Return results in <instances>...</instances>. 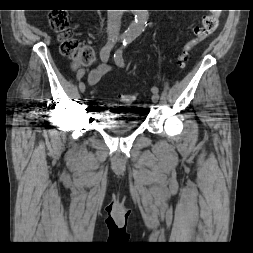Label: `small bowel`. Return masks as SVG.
<instances>
[{"mask_svg":"<svg viewBox=\"0 0 253 253\" xmlns=\"http://www.w3.org/2000/svg\"><path fill=\"white\" fill-rule=\"evenodd\" d=\"M112 67L109 64H101L96 68L92 69L87 76V81L91 86H97L101 81L102 77L110 72H112ZM84 74V70L81 69L78 72V76H82Z\"/></svg>","mask_w":253,"mask_h":253,"instance_id":"obj_1","label":"small bowel"}]
</instances>
